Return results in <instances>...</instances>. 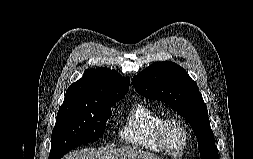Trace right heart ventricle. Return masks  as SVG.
<instances>
[{
  "label": "right heart ventricle",
  "instance_id": "obj_1",
  "mask_svg": "<svg viewBox=\"0 0 253 159\" xmlns=\"http://www.w3.org/2000/svg\"><path fill=\"white\" fill-rule=\"evenodd\" d=\"M163 118L164 114L160 111L144 103H136L121 122L119 138L125 144L159 152L162 149L156 141V129Z\"/></svg>",
  "mask_w": 253,
  "mask_h": 159
}]
</instances>
